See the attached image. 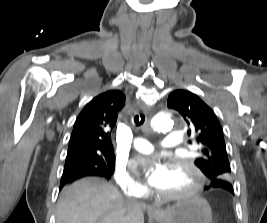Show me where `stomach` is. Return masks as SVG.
<instances>
[{"label": "stomach", "instance_id": "0dacf381", "mask_svg": "<svg viewBox=\"0 0 267 223\" xmlns=\"http://www.w3.org/2000/svg\"><path fill=\"white\" fill-rule=\"evenodd\" d=\"M159 223H212V211L206 199L193 196L178 200L166 209L156 210Z\"/></svg>", "mask_w": 267, "mask_h": 223}]
</instances>
